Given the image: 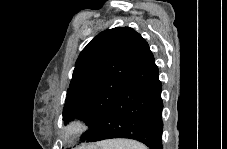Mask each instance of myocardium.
<instances>
[{
    "mask_svg": "<svg viewBox=\"0 0 227 149\" xmlns=\"http://www.w3.org/2000/svg\"><path fill=\"white\" fill-rule=\"evenodd\" d=\"M86 122L79 116H73L63 128V137L67 142H70L83 134L86 131Z\"/></svg>",
    "mask_w": 227,
    "mask_h": 149,
    "instance_id": "myocardium-1",
    "label": "myocardium"
}]
</instances>
